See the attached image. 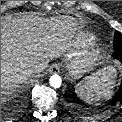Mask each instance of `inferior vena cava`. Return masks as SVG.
<instances>
[{"mask_svg": "<svg viewBox=\"0 0 122 122\" xmlns=\"http://www.w3.org/2000/svg\"><path fill=\"white\" fill-rule=\"evenodd\" d=\"M48 66V61H43V62H39L37 63L34 68H33V72L34 73H40L42 72L45 68H47Z\"/></svg>", "mask_w": 122, "mask_h": 122, "instance_id": "obj_1", "label": "inferior vena cava"}]
</instances>
